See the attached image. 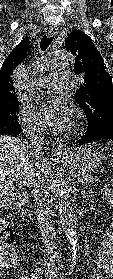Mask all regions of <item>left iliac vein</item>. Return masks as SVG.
<instances>
[{
    "label": "left iliac vein",
    "instance_id": "left-iliac-vein-1",
    "mask_svg": "<svg viewBox=\"0 0 113 279\" xmlns=\"http://www.w3.org/2000/svg\"><path fill=\"white\" fill-rule=\"evenodd\" d=\"M46 279H58V278L53 276L51 272H47L46 273Z\"/></svg>",
    "mask_w": 113,
    "mask_h": 279
}]
</instances>
